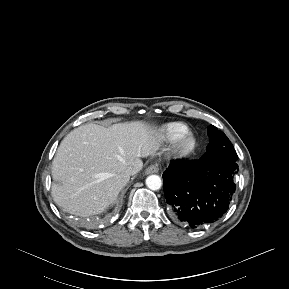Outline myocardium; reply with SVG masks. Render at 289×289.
<instances>
[{"instance_id": "1", "label": "myocardium", "mask_w": 289, "mask_h": 289, "mask_svg": "<svg viewBox=\"0 0 289 289\" xmlns=\"http://www.w3.org/2000/svg\"><path fill=\"white\" fill-rule=\"evenodd\" d=\"M197 147V138L195 135L187 131L178 136L172 145V153L177 157H186L192 154Z\"/></svg>"}]
</instances>
